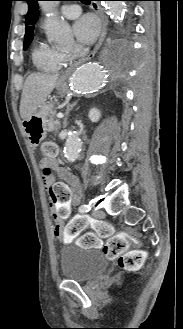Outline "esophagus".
<instances>
[{"instance_id":"esophagus-1","label":"esophagus","mask_w":183,"mask_h":329,"mask_svg":"<svg viewBox=\"0 0 183 329\" xmlns=\"http://www.w3.org/2000/svg\"><path fill=\"white\" fill-rule=\"evenodd\" d=\"M92 9L95 11V13L98 15V17L100 19V23H101L100 37H99V40H98L97 44L95 45L94 49L89 54H87L86 56H84L82 58V60H79L78 63L76 65H74L73 67H76L80 63H82L84 61H87V60H90L91 58H93L94 55L96 54V52L98 51V49L102 46V44H103V42L105 40V37H106L108 20H107L105 14L103 12V9L95 1H93V3H92ZM71 69H69V70H71ZM67 73H68V71L61 76V78H60L61 81H64L66 79Z\"/></svg>"}]
</instances>
